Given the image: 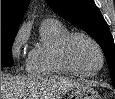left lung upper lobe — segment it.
Wrapping results in <instances>:
<instances>
[{"label":"left lung upper lobe","mask_w":115,"mask_h":99,"mask_svg":"<svg viewBox=\"0 0 115 99\" xmlns=\"http://www.w3.org/2000/svg\"><path fill=\"white\" fill-rule=\"evenodd\" d=\"M60 16L90 34L101 46L115 86V47L108 25L93 0H46Z\"/></svg>","instance_id":"obj_1"}]
</instances>
